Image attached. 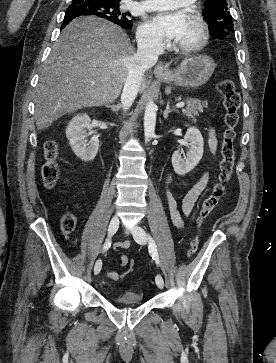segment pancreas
<instances>
[{"label":"pancreas","mask_w":276,"mask_h":363,"mask_svg":"<svg viewBox=\"0 0 276 363\" xmlns=\"http://www.w3.org/2000/svg\"><path fill=\"white\" fill-rule=\"evenodd\" d=\"M186 108L182 112L193 121L199 113H203L204 109L208 107L207 101H201L199 99H188L186 100Z\"/></svg>","instance_id":"pancreas-1"}]
</instances>
